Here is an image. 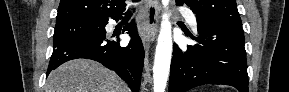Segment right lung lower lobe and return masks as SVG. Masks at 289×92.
Instances as JSON below:
<instances>
[{
	"label": "right lung lower lobe",
	"mask_w": 289,
	"mask_h": 92,
	"mask_svg": "<svg viewBox=\"0 0 289 92\" xmlns=\"http://www.w3.org/2000/svg\"><path fill=\"white\" fill-rule=\"evenodd\" d=\"M120 18L121 15L113 19L118 21ZM107 23L108 20L104 21V27ZM124 31L131 36L126 47H121L119 40L117 42L108 40L106 31L96 36L73 39L53 47L47 75L66 61L77 58L92 59L114 70L127 82L133 92H138L144 63V48L135 22L127 24Z\"/></svg>",
	"instance_id": "98d812e1"
}]
</instances>
